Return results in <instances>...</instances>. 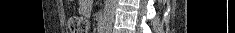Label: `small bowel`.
<instances>
[{"label": "small bowel", "mask_w": 235, "mask_h": 33, "mask_svg": "<svg viewBox=\"0 0 235 33\" xmlns=\"http://www.w3.org/2000/svg\"><path fill=\"white\" fill-rule=\"evenodd\" d=\"M81 10H82L83 12H85V11L88 10V5H87V3H84V4L81 6Z\"/></svg>", "instance_id": "small-bowel-1"}]
</instances>
